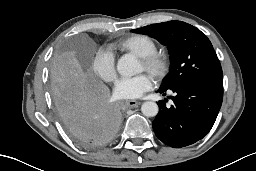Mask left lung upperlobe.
Masks as SVG:
<instances>
[{
    "label": "left lung upper lobe",
    "instance_id": "5c2ea615",
    "mask_svg": "<svg viewBox=\"0 0 256 171\" xmlns=\"http://www.w3.org/2000/svg\"><path fill=\"white\" fill-rule=\"evenodd\" d=\"M131 31L153 37L167 46L171 68L163 79L161 90L191 80L223 82L222 68L213 46L196 27L182 21H169Z\"/></svg>",
    "mask_w": 256,
    "mask_h": 171
}]
</instances>
